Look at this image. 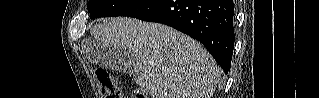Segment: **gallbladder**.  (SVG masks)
<instances>
[{
    "instance_id": "gallbladder-1",
    "label": "gallbladder",
    "mask_w": 319,
    "mask_h": 98,
    "mask_svg": "<svg viewBox=\"0 0 319 98\" xmlns=\"http://www.w3.org/2000/svg\"><path fill=\"white\" fill-rule=\"evenodd\" d=\"M86 57L95 64L119 71L124 74L136 73L137 58L126 50H116L109 45L96 43L93 51L86 52Z\"/></svg>"
}]
</instances>
